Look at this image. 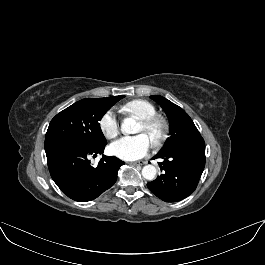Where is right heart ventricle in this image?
<instances>
[{
	"instance_id": "e07e8e85",
	"label": "right heart ventricle",
	"mask_w": 265,
	"mask_h": 265,
	"mask_svg": "<svg viewBox=\"0 0 265 265\" xmlns=\"http://www.w3.org/2000/svg\"><path fill=\"white\" fill-rule=\"evenodd\" d=\"M124 113L132 114L139 119L150 118L157 115L156 107L149 101L135 99L127 102L121 107Z\"/></svg>"
}]
</instances>
